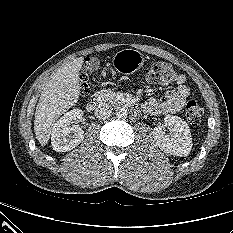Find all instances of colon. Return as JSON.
I'll return each mask as SVG.
<instances>
[{"label":"colon","mask_w":233,"mask_h":233,"mask_svg":"<svg viewBox=\"0 0 233 233\" xmlns=\"http://www.w3.org/2000/svg\"><path fill=\"white\" fill-rule=\"evenodd\" d=\"M145 80L152 84H182L185 81V77L175 71L172 65L165 62H153L147 69L145 75ZM89 76L84 71L80 76L81 91L86 93L88 90ZM203 114V110L198 102L194 99H189L185 105V116L186 119L193 125L200 122Z\"/></svg>","instance_id":"obj_1"}]
</instances>
